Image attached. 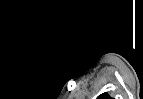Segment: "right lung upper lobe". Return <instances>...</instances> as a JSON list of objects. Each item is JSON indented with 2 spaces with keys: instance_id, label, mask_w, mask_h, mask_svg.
Listing matches in <instances>:
<instances>
[{
  "instance_id": "1",
  "label": "right lung upper lobe",
  "mask_w": 143,
  "mask_h": 99,
  "mask_svg": "<svg viewBox=\"0 0 143 99\" xmlns=\"http://www.w3.org/2000/svg\"><path fill=\"white\" fill-rule=\"evenodd\" d=\"M97 99H112L108 93H103L97 97Z\"/></svg>"
}]
</instances>
